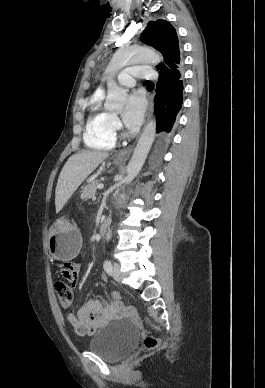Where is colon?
<instances>
[{
  "label": "colon",
  "mask_w": 265,
  "mask_h": 388,
  "mask_svg": "<svg viewBox=\"0 0 265 388\" xmlns=\"http://www.w3.org/2000/svg\"><path fill=\"white\" fill-rule=\"evenodd\" d=\"M55 290L61 306L69 307L73 301V291L71 286L64 281H57L55 283ZM109 296L114 303L122 304L123 295L119 291H112L109 293ZM149 322L156 330H160V327L158 325L152 323L151 321ZM158 345L159 339L157 337L147 336L144 339V346L148 350L155 349Z\"/></svg>",
  "instance_id": "obj_1"
}]
</instances>
